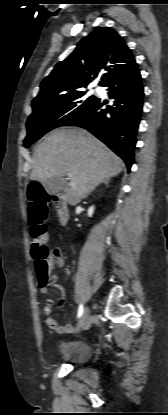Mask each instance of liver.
I'll list each match as a JSON object with an SVG mask.
<instances>
[{
  "label": "liver",
  "instance_id": "liver-1",
  "mask_svg": "<svg viewBox=\"0 0 168 415\" xmlns=\"http://www.w3.org/2000/svg\"><path fill=\"white\" fill-rule=\"evenodd\" d=\"M123 167V161L85 129L61 127L37 145L30 180L42 182L71 174L74 186L65 190L64 200L74 206Z\"/></svg>",
  "mask_w": 168,
  "mask_h": 415
}]
</instances>
